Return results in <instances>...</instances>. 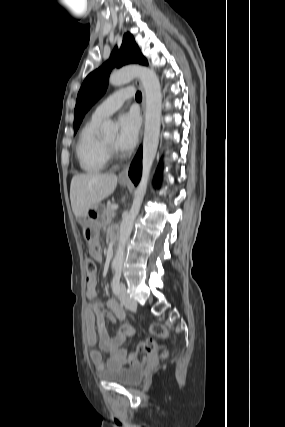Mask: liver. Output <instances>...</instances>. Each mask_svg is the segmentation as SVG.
<instances>
[{
  "label": "liver",
  "instance_id": "obj_1",
  "mask_svg": "<svg viewBox=\"0 0 285 427\" xmlns=\"http://www.w3.org/2000/svg\"><path fill=\"white\" fill-rule=\"evenodd\" d=\"M117 185L114 174H78L70 186L71 207L76 218H81L89 209L110 196Z\"/></svg>",
  "mask_w": 285,
  "mask_h": 427
}]
</instances>
